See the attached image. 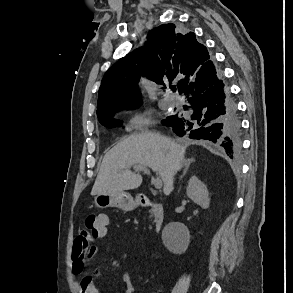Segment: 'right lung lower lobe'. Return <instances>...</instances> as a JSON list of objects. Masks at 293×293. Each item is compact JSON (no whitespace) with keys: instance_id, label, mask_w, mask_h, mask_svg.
<instances>
[{"instance_id":"1","label":"right lung lower lobe","mask_w":293,"mask_h":293,"mask_svg":"<svg viewBox=\"0 0 293 293\" xmlns=\"http://www.w3.org/2000/svg\"><path fill=\"white\" fill-rule=\"evenodd\" d=\"M188 101L185 115L168 117L163 124L179 137L207 139L221 146L230 158L241 148V126L214 63L207 61L195 78L181 91Z\"/></svg>"}]
</instances>
